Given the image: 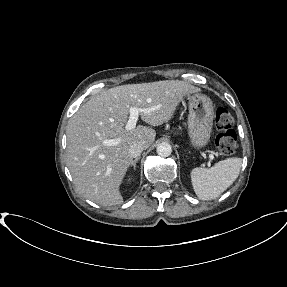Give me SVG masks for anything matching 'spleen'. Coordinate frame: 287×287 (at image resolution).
I'll return each mask as SVG.
<instances>
[{
	"instance_id": "1",
	"label": "spleen",
	"mask_w": 287,
	"mask_h": 287,
	"mask_svg": "<svg viewBox=\"0 0 287 287\" xmlns=\"http://www.w3.org/2000/svg\"><path fill=\"white\" fill-rule=\"evenodd\" d=\"M242 160L227 158L211 168L197 167L191 171V183L194 192L201 200H212L221 195L240 173Z\"/></svg>"
}]
</instances>
